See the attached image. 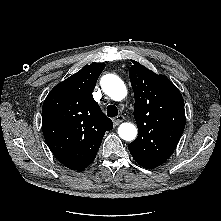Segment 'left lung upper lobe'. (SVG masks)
<instances>
[{
    "label": "left lung upper lobe",
    "instance_id": "1",
    "mask_svg": "<svg viewBox=\"0 0 221 221\" xmlns=\"http://www.w3.org/2000/svg\"><path fill=\"white\" fill-rule=\"evenodd\" d=\"M129 70L135 95L138 137L128 145L134 160L146 169L163 164L174 152L185 127L184 100L175 85L137 61Z\"/></svg>",
    "mask_w": 221,
    "mask_h": 221
}]
</instances>
